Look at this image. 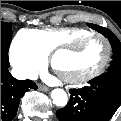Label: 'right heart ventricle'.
Listing matches in <instances>:
<instances>
[{"mask_svg":"<svg viewBox=\"0 0 121 121\" xmlns=\"http://www.w3.org/2000/svg\"><path fill=\"white\" fill-rule=\"evenodd\" d=\"M78 35L85 34V31L78 30ZM62 30L53 28H33L22 30L16 39V42L23 46L34 48L44 57L50 55L60 46H68V42H64L63 38L67 36Z\"/></svg>","mask_w":121,"mask_h":121,"instance_id":"1","label":"right heart ventricle"}]
</instances>
